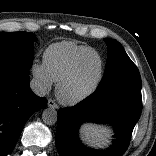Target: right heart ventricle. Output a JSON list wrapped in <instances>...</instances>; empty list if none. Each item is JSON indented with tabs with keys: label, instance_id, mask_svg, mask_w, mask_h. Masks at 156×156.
Returning <instances> with one entry per match:
<instances>
[{
	"label": "right heart ventricle",
	"instance_id": "e07e8e85",
	"mask_svg": "<svg viewBox=\"0 0 156 156\" xmlns=\"http://www.w3.org/2000/svg\"><path fill=\"white\" fill-rule=\"evenodd\" d=\"M91 50L94 49L69 41L54 43L45 50L43 64L51 80L57 83L79 55Z\"/></svg>",
	"mask_w": 156,
	"mask_h": 156
}]
</instances>
